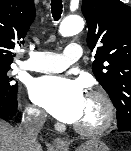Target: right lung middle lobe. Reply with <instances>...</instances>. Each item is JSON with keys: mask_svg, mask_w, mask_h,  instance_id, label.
<instances>
[{"mask_svg": "<svg viewBox=\"0 0 131 151\" xmlns=\"http://www.w3.org/2000/svg\"><path fill=\"white\" fill-rule=\"evenodd\" d=\"M10 65H0V95L14 96L18 90V83L7 75Z\"/></svg>", "mask_w": 131, "mask_h": 151, "instance_id": "right-lung-middle-lobe-1", "label": "right lung middle lobe"}]
</instances>
